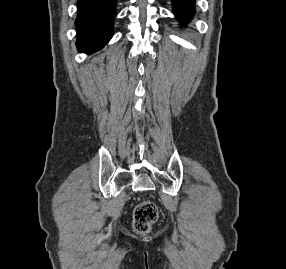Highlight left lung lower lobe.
Instances as JSON below:
<instances>
[{"label":"left lung lower lobe","mask_w":286,"mask_h":269,"mask_svg":"<svg viewBox=\"0 0 286 269\" xmlns=\"http://www.w3.org/2000/svg\"><path fill=\"white\" fill-rule=\"evenodd\" d=\"M194 2L195 0H172L174 14L182 24L187 23L193 16Z\"/></svg>","instance_id":"0a47b994"}]
</instances>
